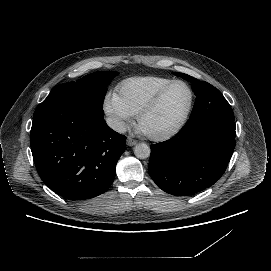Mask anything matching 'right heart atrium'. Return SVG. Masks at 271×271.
Returning <instances> with one entry per match:
<instances>
[{
    "label": "right heart atrium",
    "mask_w": 271,
    "mask_h": 271,
    "mask_svg": "<svg viewBox=\"0 0 271 271\" xmlns=\"http://www.w3.org/2000/svg\"><path fill=\"white\" fill-rule=\"evenodd\" d=\"M103 109L105 113L112 119L113 125L118 128H124L131 121V114L123 106L119 96L109 91L103 99Z\"/></svg>",
    "instance_id": "1"
}]
</instances>
